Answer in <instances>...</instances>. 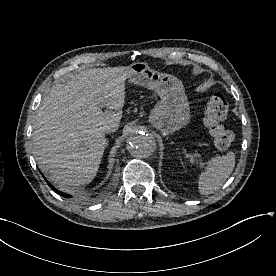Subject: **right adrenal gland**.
<instances>
[{
	"label": "right adrenal gland",
	"mask_w": 276,
	"mask_h": 276,
	"mask_svg": "<svg viewBox=\"0 0 276 276\" xmlns=\"http://www.w3.org/2000/svg\"><path fill=\"white\" fill-rule=\"evenodd\" d=\"M107 145H108V140H107V142H106V147H107Z\"/></svg>",
	"instance_id": "right-adrenal-gland-1"
}]
</instances>
